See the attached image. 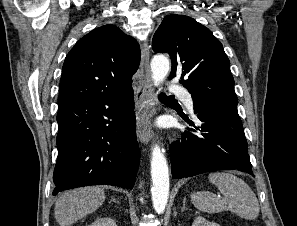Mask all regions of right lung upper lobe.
I'll return each instance as SVG.
<instances>
[{"mask_svg": "<svg viewBox=\"0 0 297 226\" xmlns=\"http://www.w3.org/2000/svg\"><path fill=\"white\" fill-rule=\"evenodd\" d=\"M140 63L136 40L115 25H104L82 37L66 56L59 105L99 94L131 90Z\"/></svg>", "mask_w": 297, "mask_h": 226, "instance_id": "1", "label": "right lung upper lobe"}]
</instances>
